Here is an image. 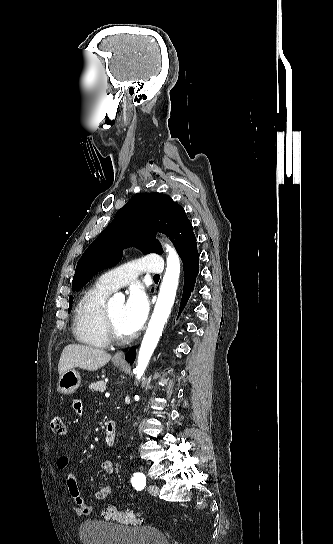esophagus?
I'll return each instance as SVG.
<instances>
[{
    "mask_svg": "<svg viewBox=\"0 0 333 544\" xmlns=\"http://www.w3.org/2000/svg\"><path fill=\"white\" fill-rule=\"evenodd\" d=\"M114 360L120 361V362H124V361H125V354H124V352H122V351L117 352V353L114 355Z\"/></svg>",
    "mask_w": 333,
    "mask_h": 544,
    "instance_id": "34e87169",
    "label": "esophagus"
}]
</instances>
